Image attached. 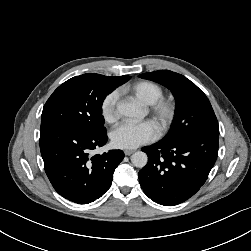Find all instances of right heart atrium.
I'll use <instances>...</instances> for the list:
<instances>
[{
  "instance_id": "1",
  "label": "right heart atrium",
  "mask_w": 251,
  "mask_h": 251,
  "mask_svg": "<svg viewBox=\"0 0 251 251\" xmlns=\"http://www.w3.org/2000/svg\"><path fill=\"white\" fill-rule=\"evenodd\" d=\"M119 99V92L117 90H113L106 94L101 101L100 104V112L103 119L112 123L117 118L116 105Z\"/></svg>"
}]
</instances>
